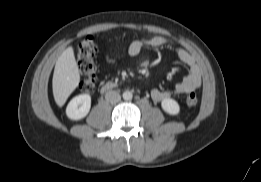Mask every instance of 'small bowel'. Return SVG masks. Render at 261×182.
I'll list each match as a JSON object with an SVG mask.
<instances>
[{
    "mask_svg": "<svg viewBox=\"0 0 261 182\" xmlns=\"http://www.w3.org/2000/svg\"><path fill=\"white\" fill-rule=\"evenodd\" d=\"M145 47H171L175 49L176 55L180 62L188 68L186 77L178 83L171 91L153 89L151 97L156 102H161L172 96L180 94H190L197 91L202 84L201 70L197 64L194 56L181 47H176L175 43L163 36H149L134 40L129 48L128 53L130 56H137ZM106 60L113 63L109 55H106Z\"/></svg>",
    "mask_w": 261,
    "mask_h": 182,
    "instance_id": "c3829d8e",
    "label": "small bowel"
}]
</instances>
